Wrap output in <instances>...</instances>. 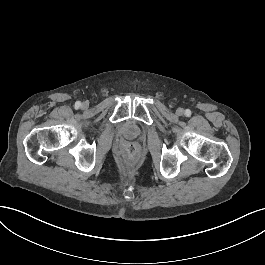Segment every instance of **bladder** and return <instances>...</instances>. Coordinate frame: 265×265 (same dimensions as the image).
<instances>
[{
    "label": "bladder",
    "mask_w": 265,
    "mask_h": 265,
    "mask_svg": "<svg viewBox=\"0 0 265 265\" xmlns=\"http://www.w3.org/2000/svg\"><path fill=\"white\" fill-rule=\"evenodd\" d=\"M121 131L127 137H134L139 133V127L133 122H127L123 125Z\"/></svg>",
    "instance_id": "31cf9c89"
}]
</instances>
